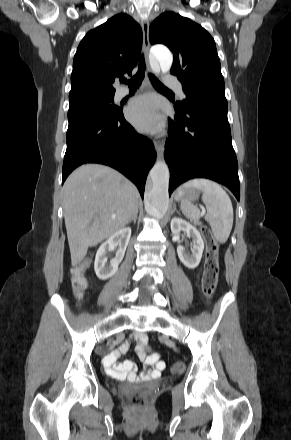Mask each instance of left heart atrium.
Returning <instances> with one entry per match:
<instances>
[{"mask_svg":"<svg viewBox=\"0 0 291 440\" xmlns=\"http://www.w3.org/2000/svg\"><path fill=\"white\" fill-rule=\"evenodd\" d=\"M127 118L134 126L143 131L156 128L160 121L154 100L147 96L140 97L129 105Z\"/></svg>","mask_w":291,"mask_h":440,"instance_id":"39dd6f15","label":"left heart atrium"}]
</instances>
